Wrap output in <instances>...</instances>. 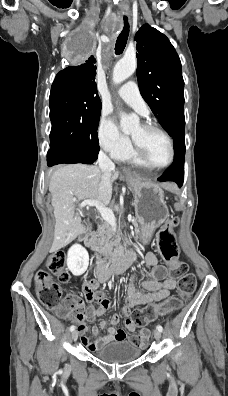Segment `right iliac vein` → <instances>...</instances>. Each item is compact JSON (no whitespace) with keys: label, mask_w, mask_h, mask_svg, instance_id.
Listing matches in <instances>:
<instances>
[{"label":"right iliac vein","mask_w":228,"mask_h":396,"mask_svg":"<svg viewBox=\"0 0 228 396\" xmlns=\"http://www.w3.org/2000/svg\"><path fill=\"white\" fill-rule=\"evenodd\" d=\"M71 338H72L73 341L77 340V338H78V331L77 330L72 332Z\"/></svg>","instance_id":"right-iliac-vein-1"}]
</instances>
